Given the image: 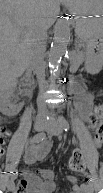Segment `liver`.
<instances>
[{
  "instance_id": "6515ba94",
  "label": "liver",
  "mask_w": 103,
  "mask_h": 193,
  "mask_svg": "<svg viewBox=\"0 0 103 193\" xmlns=\"http://www.w3.org/2000/svg\"><path fill=\"white\" fill-rule=\"evenodd\" d=\"M60 4L72 10L71 0H1V75L15 80L30 61V43L40 27H49Z\"/></svg>"
}]
</instances>
